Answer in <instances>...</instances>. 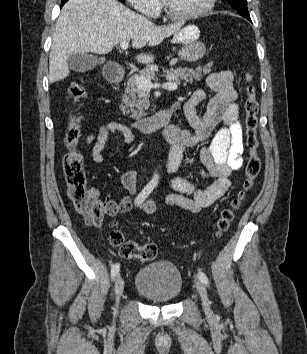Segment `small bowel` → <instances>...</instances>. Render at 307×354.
<instances>
[{
	"instance_id": "small-bowel-1",
	"label": "small bowel",
	"mask_w": 307,
	"mask_h": 354,
	"mask_svg": "<svg viewBox=\"0 0 307 354\" xmlns=\"http://www.w3.org/2000/svg\"><path fill=\"white\" fill-rule=\"evenodd\" d=\"M233 81L234 76L230 70L211 73L206 83L212 95L198 89L182 106L189 128L172 125L166 129V138L172 146L166 166L169 175L180 168L186 149L210 140L209 145L203 146L200 151L203 168L193 171L195 176L210 181V184L200 189L186 178H171L170 187L174 192L166 197L170 206L185 212H200L228 192L231 175L242 166L243 130L238 118V94ZM201 103H206V111L202 116L197 113V106ZM117 132L121 133L128 143L135 140L133 130L116 121L108 122L86 136V144H93L94 162L104 161L103 151L109 136ZM136 178L137 173L134 170L126 171L121 177L122 186L130 195L136 193ZM90 194L99 199V190L91 189ZM105 204L108 206L109 216L126 213L131 209L129 196H124L119 201L109 200ZM137 206L147 213H153L156 209L151 201L142 202Z\"/></svg>"
}]
</instances>
